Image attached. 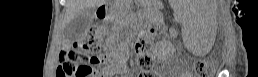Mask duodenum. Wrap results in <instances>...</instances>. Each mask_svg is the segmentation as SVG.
Returning <instances> with one entry per match:
<instances>
[{
    "mask_svg": "<svg viewBox=\"0 0 258 77\" xmlns=\"http://www.w3.org/2000/svg\"><path fill=\"white\" fill-rule=\"evenodd\" d=\"M106 12V8L103 6L102 7V13H105Z\"/></svg>",
    "mask_w": 258,
    "mask_h": 77,
    "instance_id": "410a0bca",
    "label": "duodenum"
}]
</instances>
